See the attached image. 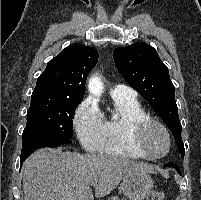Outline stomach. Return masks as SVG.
<instances>
[{
  "instance_id": "1",
  "label": "stomach",
  "mask_w": 201,
  "mask_h": 200,
  "mask_svg": "<svg viewBox=\"0 0 201 200\" xmlns=\"http://www.w3.org/2000/svg\"><path fill=\"white\" fill-rule=\"evenodd\" d=\"M153 188V180L148 173H132L123 177L121 189L129 200H143Z\"/></svg>"
}]
</instances>
